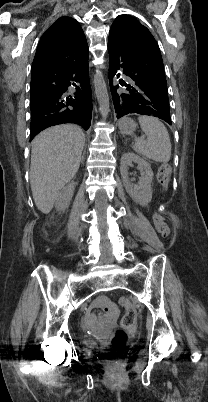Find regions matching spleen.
Returning a JSON list of instances; mask_svg holds the SVG:
<instances>
[{
    "instance_id": "3e777b00",
    "label": "spleen",
    "mask_w": 208,
    "mask_h": 402,
    "mask_svg": "<svg viewBox=\"0 0 208 402\" xmlns=\"http://www.w3.org/2000/svg\"><path fill=\"white\" fill-rule=\"evenodd\" d=\"M138 120L147 140L136 138L133 146L135 152L154 162L167 164L171 158V142L164 124L153 116H140Z\"/></svg>"
}]
</instances>
